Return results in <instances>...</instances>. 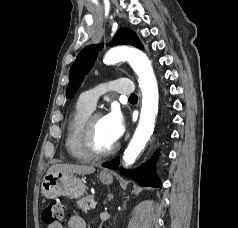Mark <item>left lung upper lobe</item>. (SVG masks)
<instances>
[{"instance_id":"5c2ea615","label":"left lung upper lobe","mask_w":238,"mask_h":228,"mask_svg":"<svg viewBox=\"0 0 238 228\" xmlns=\"http://www.w3.org/2000/svg\"><path fill=\"white\" fill-rule=\"evenodd\" d=\"M121 44L132 45L139 49H143L141 41L129 28L121 27L116 32L112 45ZM100 48H102V46L90 45L80 51L70 69V81L66 90V98H72L74 96L85 75L92 67Z\"/></svg>"}]
</instances>
